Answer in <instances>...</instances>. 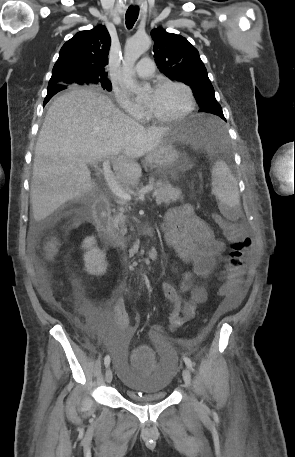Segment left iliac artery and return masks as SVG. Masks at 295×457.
<instances>
[{
  "label": "left iliac artery",
  "instance_id": "obj_1",
  "mask_svg": "<svg viewBox=\"0 0 295 457\" xmlns=\"http://www.w3.org/2000/svg\"><path fill=\"white\" fill-rule=\"evenodd\" d=\"M183 360L185 362V364L187 365V367L193 371V363L192 361L190 360V358L188 357H183Z\"/></svg>",
  "mask_w": 295,
  "mask_h": 457
}]
</instances>
